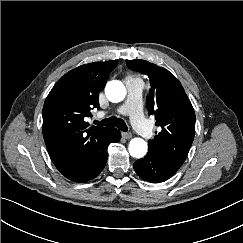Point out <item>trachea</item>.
Returning a JSON list of instances; mask_svg holds the SVG:
<instances>
[{
    "label": "trachea",
    "mask_w": 243,
    "mask_h": 243,
    "mask_svg": "<svg viewBox=\"0 0 243 243\" xmlns=\"http://www.w3.org/2000/svg\"><path fill=\"white\" fill-rule=\"evenodd\" d=\"M94 124L100 125V126H115L124 132H126L128 130L126 123L122 119L116 118V117H110L107 119H103L102 121L95 120Z\"/></svg>",
    "instance_id": "obj_1"
}]
</instances>
